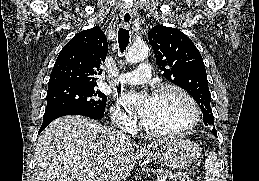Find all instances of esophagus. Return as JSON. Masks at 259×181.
<instances>
[{
  "mask_svg": "<svg viewBox=\"0 0 259 181\" xmlns=\"http://www.w3.org/2000/svg\"><path fill=\"white\" fill-rule=\"evenodd\" d=\"M122 21H123V24L128 26L131 24V21H132V15L131 13H124L122 15Z\"/></svg>",
  "mask_w": 259,
  "mask_h": 181,
  "instance_id": "esophagus-1",
  "label": "esophagus"
}]
</instances>
